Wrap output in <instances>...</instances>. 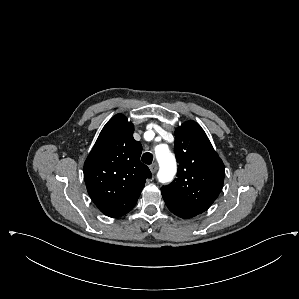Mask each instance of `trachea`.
Instances as JSON below:
<instances>
[{"label":"trachea","instance_id":"3493384b","mask_svg":"<svg viewBox=\"0 0 299 299\" xmlns=\"http://www.w3.org/2000/svg\"><path fill=\"white\" fill-rule=\"evenodd\" d=\"M152 161H153V155H152L151 153L147 152V153H144V154L142 155V162H143V163L149 165V164L152 163Z\"/></svg>","mask_w":299,"mask_h":299}]
</instances>
